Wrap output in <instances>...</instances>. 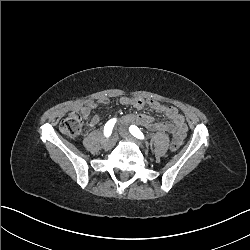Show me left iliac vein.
Listing matches in <instances>:
<instances>
[{"instance_id": "4c4485c4", "label": "left iliac vein", "mask_w": 250, "mask_h": 250, "mask_svg": "<svg viewBox=\"0 0 250 250\" xmlns=\"http://www.w3.org/2000/svg\"><path fill=\"white\" fill-rule=\"evenodd\" d=\"M119 134L123 137L126 138L128 140H131L133 142H137L136 139L128 132V130L126 128H121L119 131ZM142 146V145H141ZM143 147V146H142Z\"/></svg>"}]
</instances>
